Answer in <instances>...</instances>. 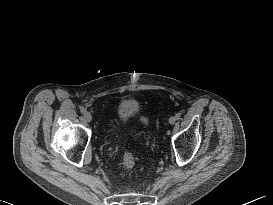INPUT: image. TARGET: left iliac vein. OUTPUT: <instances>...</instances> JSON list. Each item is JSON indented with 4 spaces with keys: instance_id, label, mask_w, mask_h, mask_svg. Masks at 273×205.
<instances>
[{
    "instance_id": "1",
    "label": "left iliac vein",
    "mask_w": 273,
    "mask_h": 205,
    "mask_svg": "<svg viewBox=\"0 0 273 205\" xmlns=\"http://www.w3.org/2000/svg\"><path fill=\"white\" fill-rule=\"evenodd\" d=\"M175 122H176V117L171 116V117L169 118V123H170V124H174Z\"/></svg>"
}]
</instances>
